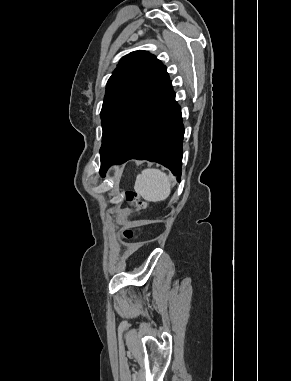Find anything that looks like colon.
I'll return each mask as SVG.
<instances>
[{
	"instance_id": "obj_1",
	"label": "colon",
	"mask_w": 291,
	"mask_h": 381,
	"mask_svg": "<svg viewBox=\"0 0 291 381\" xmlns=\"http://www.w3.org/2000/svg\"><path fill=\"white\" fill-rule=\"evenodd\" d=\"M126 198L129 202L132 203V205L136 208L138 211L146 210L147 205L145 202L140 201L136 198L135 194L132 192H128L126 194ZM135 236V233L132 229L128 228L123 231V237L127 240L133 239Z\"/></svg>"
}]
</instances>
